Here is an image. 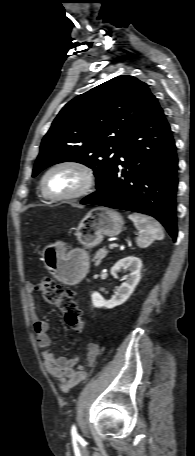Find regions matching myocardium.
I'll return each instance as SVG.
<instances>
[{
    "instance_id": "myocardium-1",
    "label": "myocardium",
    "mask_w": 195,
    "mask_h": 456,
    "mask_svg": "<svg viewBox=\"0 0 195 456\" xmlns=\"http://www.w3.org/2000/svg\"><path fill=\"white\" fill-rule=\"evenodd\" d=\"M62 167H72V168L79 170L83 174L84 181H83L82 186L73 193H70L67 195H53L47 189L46 179L52 171H54L58 168H62ZM94 185H95V174H94L93 169L90 166H88L87 164H85L81 161H77V160H65V161H61V162H58V163L52 165L44 173V175L42 176V179H41L42 194L47 199H50L52 201H58V202L71 201V200H76V199L82 198L90 193V191L93 189Z\"/></svg>"
}]
</instances>
